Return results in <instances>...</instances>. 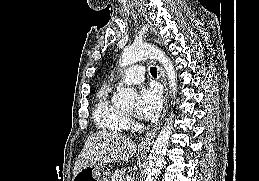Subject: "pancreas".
I'll use <instances>...</instances> for the list:
<instances>
[{
  "instance_id": "pancreas-1",
  "label": "pancreas",
  "mask_w": 259,
  "mask_h": 181,
  "mask_svg": "<svg viewBox=\"0 0 259 181\" xmlns=\"http://www.w3.org/2000/svg\"><path fill=\"white\" fill-rule=\"evenodd\" d=\"M125 174V169L124 168H119L117 169L114 173L111 175V181H120Z\"/></svg>"
}]
</instances>
